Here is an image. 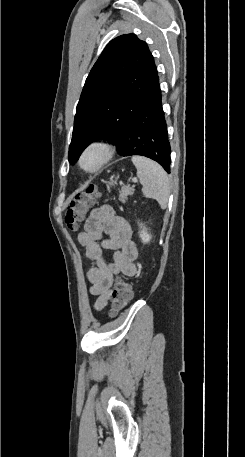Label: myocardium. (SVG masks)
<instances>
[{
    "label": "myocardium",
    "instance_id": "f54148a6",
    "mask_svg": "<svg viewBox=\"0 0 245 457\" xmlns=\"http://www.w3.org/2000/svg\"><path fill=\"white\" fill-rule=\"evenodd\" d=\"M96 157V162L92 166H88L86 161L89 157ZM112 149L107 141L96 140L85 149L79 159L80 167L89 173L99 171L111 158Z\"/></svg>",
    "mask_w": 245,
    "mask_h": 457
}]
</instances>
